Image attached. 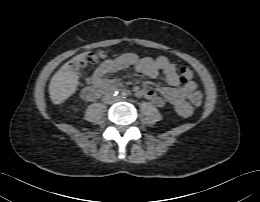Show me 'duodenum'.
<instances>
[{
	"mask_svg": "<svg viewBox=\"0 0 260 202\" xmlns=\"http://www.w3.org/2000/svg\"><path fill=\"white\" fill-rule=\"evenodd\" d=\"M113 89L110 83H99L96 86H88L83 89L81 96L86 101H92L96 99L101 94Z\"/></svg>",
	"mask_w": 260,
	"mask_h": 202,
	"instance_id": "obj_1",
	"label": "duodenum"
}]
</instances>
